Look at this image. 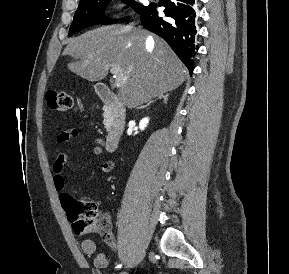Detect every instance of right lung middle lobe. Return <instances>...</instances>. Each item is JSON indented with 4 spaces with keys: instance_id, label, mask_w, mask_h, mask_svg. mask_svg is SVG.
<instances>
[{
    "instance_id": "obj_1",
    "label": "right lung middle lobe",
    "mask_w": 289,
    "mask_h": 274,
    "mask_svg": "<svg viewBox=\"0 0 289 274\" xmlns=\"http://www.w3.org/2000/svg\"><path fill=\"white\" fill-rule=\"evenodd\" d=\"M111 0H81L71 24L69 35L96 24H111L113 21L104 16L106 5ZM123 2L134 7L137 13H141L145 6L139 5L134 0H123Z\"/></svg>"
}]
</instances>
